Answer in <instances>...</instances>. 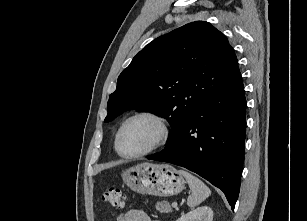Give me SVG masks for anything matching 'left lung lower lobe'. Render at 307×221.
Here are the masks:
<instances>
[{
    "label": "left lung lower lobe",
    "instance_id": "obj_1",
    "mask_svg": "<svg viewBox=\"0 0 307 221\" xmlns=\"http://www.w3.org/2000/svg\"><path fill=\"white\" fill-rule=\"evenodd\" d=\"M246 99L238 66L198 105L166 147L148 159L182 166L221 189L234 209L244 161Z\"/></svg>",
    "mask_w": 307,
    "mask_h": 221
}]
</instances>
